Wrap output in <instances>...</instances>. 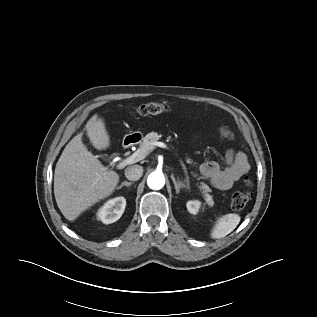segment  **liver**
<instances>
[{"label":"liver","instance_id":"obj_1","mask_svg":"<svg viewBox=\"0 0 317 317\" xmlns=\"http://www.w3.org/2000/svg\"><path fill=\"white\" fill-rule=\"evenodd\" d=\"M92 145L103 150L110 139L105 122L93 115L86 126ZM76 135L64 148L55 168L54 195L63 216L74 221L83 211L115 190L119 175L105 168Z\"/></svg>","mask_w":317,"mask_h":317}]
</instances>
